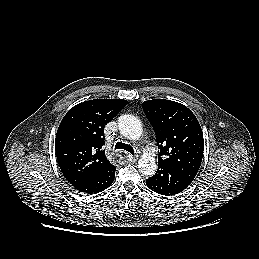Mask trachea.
Instances as JSON below:
<instances>
[{
	"mask_svg": "<svg viewBox=\"0 0 259 259\" xmlns=\"http://www.w3.org/2000/svg\"><path fill=\"white\" fill-rule=\"evenodd\" d=\"M115 149H123L134 155V149L130 145L123 142H117L115 145Z\"/></svg>",
	"mask_w": 259,
	"mask_h": 259,
	"instance_id": "trachea-1",
	"label": "trachea"
}]
</instances>
